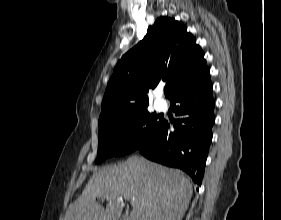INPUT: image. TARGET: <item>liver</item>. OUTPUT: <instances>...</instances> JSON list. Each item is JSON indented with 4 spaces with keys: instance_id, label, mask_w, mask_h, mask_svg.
<instances>
[{
    "instance_id": "obj_1",
    "label": "liver",
    "mask_w": 281,
    "mask_h": 220,
    "mask_svg": "<svg viewBox=\"0 0 281 220\" xmlns=\"http://www.w3.org/2000/svg\"><path fill=\"white\" fill-rule=\"evenodd\" d=\"M192 193L183 172L135 155L95 172L64 220H119L122 198L132 204L123 220H182ZM96 198L106 199V208Z\"/></svg>"
}]
</instances>
